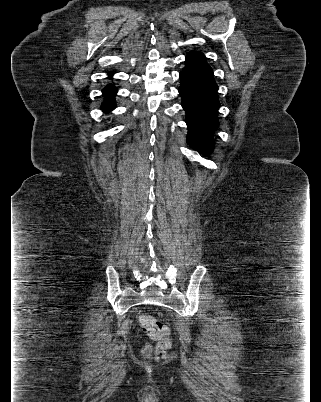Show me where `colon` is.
I'll list each match as a JSON object with an SVG mask.
<instances>
[{
  "instance_id": "1",
  "label": "colon",
  "mask_w": 321,
  "mask_h": 402,
  "mask_svg": "<svg viewBox=\"0 0 321 402\" xmlns=\"http://www.w3.org/2000/svg\"><path fill=\"white\" fill-rule=\"evenodd\" d=\"M139 324L143 331L152 339L159 341L155 348L146 346L144 353L147 356L154 355L158 359L165 357L169 348V331L167 327L161 324L152 314L147 312L139 316Z\"/></svg>"
}]
</instances>
